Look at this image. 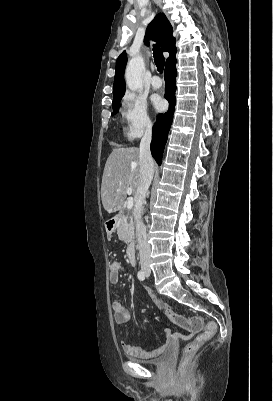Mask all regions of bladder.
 <instances>
[{
	"mask_svg": "<svg viewBox=\"0 0 273 401\" xmlns=\"http://www.w3.org/2000/svg\"><path fill=\"white\" fill-rule=\"evenodd\" d=\"M173 353L171 350L165 351L163 354H161L157 359L151 360V361H146V360H140L136 357H129L132 361L138 362L140 364H146V365H151L155 367H163L167 365L171 359H172Z\"/></svg>",
	"mask_w": 273,
	"mask_h": 401,
	"instance_id": "obj_1",
	"label": "bladder"
}]
</instances>
